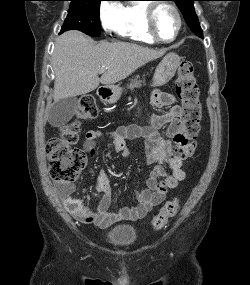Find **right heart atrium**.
<instances>
[{"instance_id": "d8ad5b80", "label": "right heart atrium", "mask_w": 250, "mask_h": 285, "mask_svg": "<svg viewBox=\"0 0 250 285\" xmlns=\"http://www.w3.org/2000/svg\"><path fill=\"white\" fill-rule=\"evenodd\" d=\"M122 14V5L117 1H105L100 6V20L107 32H117Z\"/></svg>"}]
</instances>
